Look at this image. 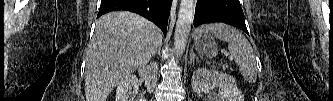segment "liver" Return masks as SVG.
<instances>
[{
	"instance_id": "1",
	"label": "liver",
	"mask_w": 333,
	"mask_h": 101,
	"mask_svg": "<svg viewBox=\"0 0 333 101\" xmlns=\"http://www.w3.org/2000/svg\"><path fill=\"white\" fill-rule=\"evenodd\" d=\"M162 45V32L129 11L110 12L98 19L85 70L87 101H106L113 88L145 66Z\"/></svg>"
}]
</instances>
